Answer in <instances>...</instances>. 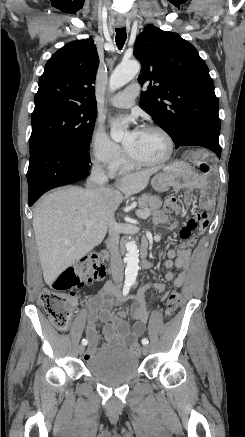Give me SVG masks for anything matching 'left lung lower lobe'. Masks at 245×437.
<instances>
[{"label":"left lung lower lobe","mask_w":245,"mask_h":437,"mask_svg":"<svg viewBox=\"0 0 245 437\" xmlns=\"http://www.w3.org/2000/svg\"><path fill=\"white\" fill-rule=\"evenodd\" d=\"M219 133L211 127H195L191 129L179 143V146H202L212 150L219 158L221 156V147L219 145Z\"/></svg>","instance_id":"left-lung-lower-lobe-1"}]
</instances>
